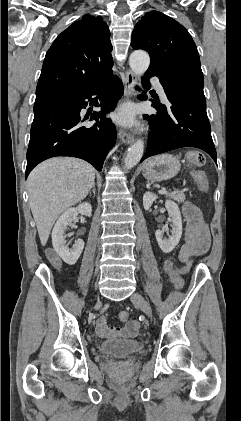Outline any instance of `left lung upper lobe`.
Segmentation results:
<instances>
[{
	"label": "left lung upper lobe",
	"instance_id": "5c2ea615",
	"mask_svg": "<svg viewBox=\"0 0 241 421\" xmlns=\"http://www.w3.org/2000/svg\"><path fill=\"white\" fill-rule=\"evenodd\" d=\"M131 46L149 53L148 70H157L174 81L204 85L199 54L192 37L169 16L158 11L147 12L135 25Z\"/></svg>",
	"mask_w": 241,
	"mask_h": 421
}]
</instances>
